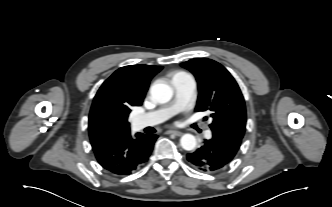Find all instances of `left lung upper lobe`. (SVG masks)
<instances>
[{"instance_id": "left-lung-upper-lobe-1", "label": "left lung upper lobe", "mask_w": 332, "mask_h": 207, "mask_svg": "<svg viewBox=\"0 0 332 207\" xmlns=\"http://www.w3.org/2000/svg\"><path fill=\"white\" fill-rule=\"evenodd\" d=\"M198 82L195 111H210L212 132L243 138L246 108L241 90L232 75L219 63L207 58H195L181 63Z\"/></svg>"}]
</instances>
